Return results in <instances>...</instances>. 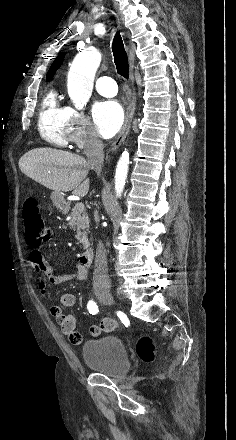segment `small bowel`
<instances>
[{
    "label": "small bowel",
    "mask_w": 236,
    "mask_h": 440,
    "mask_svg": "<svg viewBox=\"0 0 236 440\" xmlns=\"http://www.w3.org/2000/svg\"><path fill=\"white\" fill-rule=\"evenodd\" d=\"M32 270L35 274H42L43 277L38 281V288L42 294H45L47 286H58L66 283L71 279L85 281L87 279V271L82 266H78L73 272L66 274H55L52 267L44 259L42 253L38 249H31L29 252ZM76 298L73 293H64L60 298L62 307L71 308L75 305ZM60 305H52L50 314L56 320L61 332L66 335L69 341L74 345L82 342V335L76 330V320L72 314L63 313ZM117 322L111 318H105L100 324H92L90 335L97 337L100 333H115Z\"/></svg>",
    "instance_id": "small-bowel-1"
}]
</instances>
